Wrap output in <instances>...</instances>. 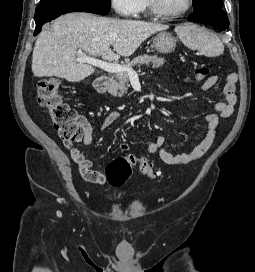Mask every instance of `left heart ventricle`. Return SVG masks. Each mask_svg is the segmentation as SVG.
<instances>
[{"label":"left heart ventricle","instance_id":"obj_1","mask_svg":"<svg viewBox=\"0 0 255 272\" xmlns=\"http://www.w3.org/2000/svg\"><path fill=\"white\" fill-rule=\"evenodd\" d=\"M188 0H159L160 7L162 10L174 13L181 11L187 6Z\"/></svg>","mask_w":255,"mask_h":272}]
</instances>
